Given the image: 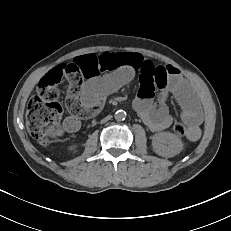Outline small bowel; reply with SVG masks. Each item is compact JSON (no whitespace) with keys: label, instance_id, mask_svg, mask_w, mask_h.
I'll return each instance as SVG.
<instances>
[{"label":"small bowel","instance_id":"obj_1","mask_svg":"<svg viewBox=\"0 0 231 231\" xmlns=\"http://www.w3.org/2000/svg\"><path fill=\"white\" fill-rule=\"evenodd\" d=\"M68 80L67 109L64 120L67 132H76L82 119L97 114L105 98L127 84L136 75L140 79L133 108L152 131H162L172 123L167 97L173 93L182 109V119L189 126L188 138L198 140L202 114L196 97L181 72L171 65H158L138 53L104 52L87 54L58 65L44 80L57 83Z\"/></svg>","mask_w":231,"mask_h":231}]
</instances>
